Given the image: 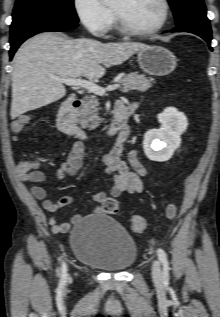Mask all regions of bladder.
Instances as JSON below:
<instances>
[{
    "label": "bladder",
    "mask_w": 220,
    "mask_h": 317,
    "mask_svg": "<svg viewBox=\"0 0 220 317\" xmlns=\"http://www.w3.org/2000/svg\"><path fill=\"white\" fill-rule=\"evenodd\" d=\"M69 244L78 262L109 272L130 268L138 255L129 232L103 214L83 217L73 227Z\"/></svg>",
    "instance_id": "bladder-1"
}]
</instances>
